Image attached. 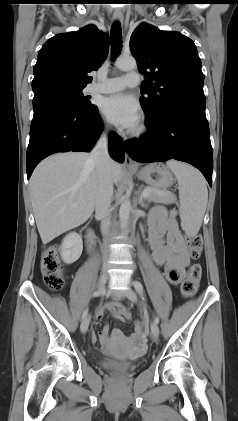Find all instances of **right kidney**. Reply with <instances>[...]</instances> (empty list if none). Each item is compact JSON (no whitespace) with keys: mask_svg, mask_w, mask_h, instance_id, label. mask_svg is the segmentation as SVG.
<instances>
[{"mask_svg":"<svg viewBox=\"0 0 238 421\" xmlns=\"http://www.w3.org/2000/svg\"><path fill=\"white\" fill-rule=\"evenodd\" d=\"M82 251L83 242L79 234L72 232L64 237L61 245V258L64 263H74L80 258Z\"/></svg>","mask_w":238,"mask_h":421,"instance_id":"obj_1","label":"right kidney"}]
</instances>
